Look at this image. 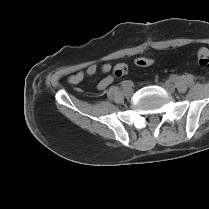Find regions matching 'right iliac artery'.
I'll return each mask as SVG.
<instances>
[{"mask_svg": "<svg viewBox=\"0 0 209 209\" xmlns=\"http://www.w3.org/2000/svg\"><path fill=\"white\" fill-rule=\"evenodd\" d=\"M122 86H123L124 89H126L128 87L130 88V87H132V83L128 82V81H125V82H123Z\"/></svg>", "mask_w": 209, "mask_h": 209, "instance_id": "right-iliac-artery-1", "label": "right iliac artery"}]
</instances>
